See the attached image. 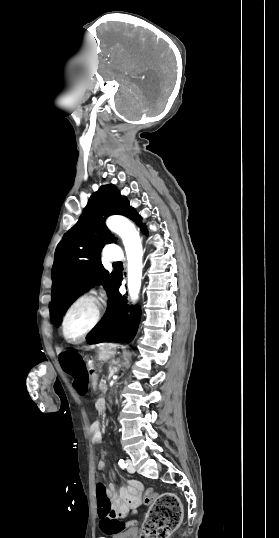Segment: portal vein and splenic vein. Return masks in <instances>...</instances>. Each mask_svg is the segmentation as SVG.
Listing matches in <instances>:
<instances>
[{
  "instance_id": "18ae733b",
  "label": "portal vein and splenic vein",
  "mask_w": 279,
  "mask_h": 538,
  "mask_svg": "<svg viewBox=\"0 0 279 538\" xmlns=\"http://www.w3.org/2000/svg\"><path fill=\"white\" fill-rule=\"evenodd\" d=\"M104 383H108V380H104Z\"/></svg>"
}]
</instances>
